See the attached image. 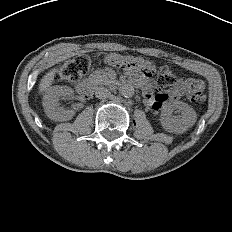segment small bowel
<instances>
[{
    "label": "small bowel",
    "mask_w": 232,
    "mask_h": 232,
    "mask_svg": "<svg viewBox=\"0 0 232 232\" xmlns=\"http://www.w3.org/2000/svg\"><path fill=\"white\" fill-rule=\"evenodd\" d=\"M105 60L111 65H117L122 75L129 76L141 81L147 104L154 110H158L168 99H177L186 89V81L180 80L169 92L153 95L154 83L151 80L154 67L146 59L140 57H122L109 53Z\"/></svg>",
    "instance_id": "1"
}]
</instances>
